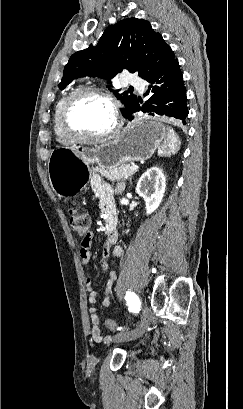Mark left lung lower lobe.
Wrapping results in <instances>:
<instances>
[{
    "instance_id": "1",
    "label": "left lung lower lobe",
    "mask_w": 243,
    "mask_h": 409,
    "mask_svg": "<svg viewBox=\"0 0 243 409\" xmlns=\"http://www.w3.org/2000/svg\"><path fill=\"white\" fill-rule=\"evenodd\" d=\"M150 85L146 95H151L146 104L140 105L141 100L124 115L130 121L133 113L143 111L151 116H168L180 119L186 124L188 116L186 89L178 60L174 59L168 66L146 79Z\"/></svg>"
}]
</instances>
